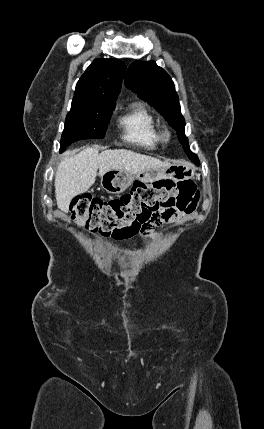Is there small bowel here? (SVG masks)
I'll return each instance as SVG.
<instances>
[{
  "label": "small bowel",
  "mask_w": 264,
  "mask_h": 429,
  "mask_svg": "<svg viewBox=\"0 0 264 429\" xmlns=\"http://www.w3.org/2000/svg\"><path fill=\"white\" fill-rule=\"evenodd\" d=\"M186 216L187 214L179 212L177 210L170 213L155 215L141 227V230H140L141 235L146 241H150L154 237L155 227L163 223H173V222L181 223L185 220ZM140 251L142 252V250ZM120 254L124 256H129L130 252L122 250L120 251Z\"/></svg>",
  "instance_id": "small-bowel-1"
}]
</instances>
